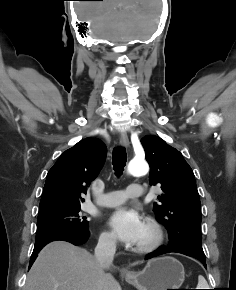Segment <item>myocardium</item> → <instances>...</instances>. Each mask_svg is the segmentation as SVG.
Wrapping results in <instances>:
<instances>
[{"label": "myocardium", "instance_id": "f54148a6", "mask_svg": "<svg viewBox=\"0 0 236 290\" xmlns=\"http://www.w3.org/2000/svg\"><path fill=\"white\" fill-rule=\"evenodd\" d=\"M147 232V239L138 243L134 250L140 253H147L156 250L163 241V230L161 226L153 219H147L144 225Z\"/></svg>", "mask_w": 236, "mask_h": 290}]
</instances>
